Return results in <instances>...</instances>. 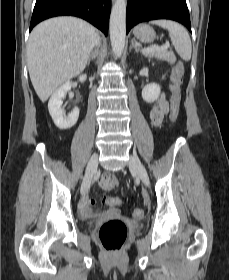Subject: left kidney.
<instances>
[{"mask_svg":"<svg viewBox=\"0 0 229 280\" xmlns=\"http://www.w3.org/2000/svg\"><path fill=\"white\" fill-rule=\"evenodd\" d=\"M160 90V86L156 83L147 84L142 90L143 100L148 103L157 100L160 94Z\"/></svg>","mask_w":229,"mask_h":280,"instance_id":"1","label":"left kidney"}]
</instances>
